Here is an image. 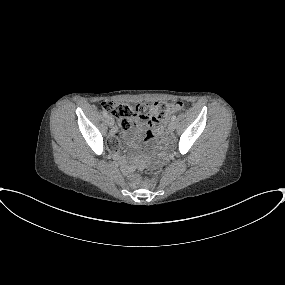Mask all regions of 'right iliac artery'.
<instances>
[{
	"instance_id": "82829eb1",
	"label": "right iliac artery",
	"mask_w": 285,
	"mask_h": 285,
	"mask_svg": "<svg viewBox=\"0 0 285 285\" xmlns=\"http://www.w3.org/2000/svg\"><path fill=\"white\" fill-rule=\"evenodd\" d=\"M102 114H103L105 117L108 116V112H107L105 109L102 111Z\"/></svg>"
}]
</instances>
